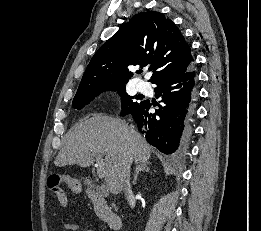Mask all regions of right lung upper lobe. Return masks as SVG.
<instances>
[{"label": "right lung upper lobe", "instance_id": "cb5924a9", "mask_svg": "<svg viewBox=\"0 0 261 231\" xmlns=\"http://www.w3.org/2000/svg\"><path fill=\"white\" fill-rule=\"evenodd\" d=\"M193 62L190 46L170 19L159 12L139 13L95 53L76 95L125 86L131 65L150 64L149 81L156 83L186 72Z\"/></svg>", "mask_w": 261, "mask_h": 231}]
</instances>
